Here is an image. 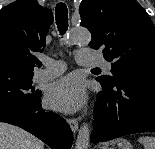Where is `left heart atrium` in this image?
Instances as JSON below:
<instances>
[{
  "mask_svg": "<svg viewBox=\"0 0 155 149\" xmlns=\"http://www.w3.org/2000/svg\"><path fill=\"white\" fill-rule=\"evenodd\" d=\"M46 103L54 110L74 112L85 102V90L80 78L67 75L50 85L47 90Z\"/></svg>",
  "mask_w": 155,
  "mask_h": 149,
  "instance_id": "1",
  "label": "left heart atrium"
}]
</instances>
